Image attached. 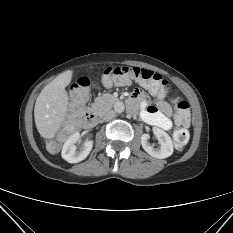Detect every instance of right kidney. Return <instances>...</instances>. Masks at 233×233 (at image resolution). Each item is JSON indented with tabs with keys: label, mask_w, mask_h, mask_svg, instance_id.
Instances as JSON below:
<instances>
[{
	"label": "right kidney",
	"mask_w": 233,
	"mask_h": 233,
	"mask_svg": "<svg viewBox=\"0 0 233 233\" xmlns=\"http://www.w3.org/2000/svg\"><path fill=\"white\" fill-rule=\"evenodd\" d=\"M80 138V133L75 132L68 137L62 148V158L69 163H78L84 160L92 150L93 141H86L80 151L76 150L75 143Z\"/></svg>",
	"instance_id": "right-kidney-1"
}]
</instances>
